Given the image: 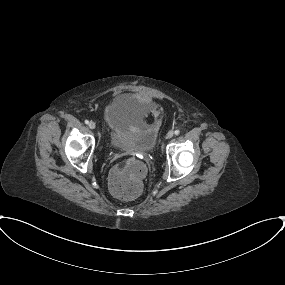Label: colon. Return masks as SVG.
<instances>
[{
  "label": "colon",
  "mask_w": 285,
  "mask_h": 285,
  "mask_svg": "<svg viewBox=\"0 0 285 285\" xmlns=\"http://www.w3.org/2000/svg\"><path fill=\"white\" fill-rule=\"evenodd\" d=\"M145 166L137 160L115 168L109 178L111 193L118 199L129 201L141 195Z\"/></svg>",
  "instance_id": "colon-1"
}]
</instances>
